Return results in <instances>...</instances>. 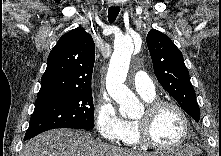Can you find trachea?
Listing matches in <instances>:
<instances>
[{"label":"trachea","instance_id":"obj_1","mask_svg":"<svg viewBox=\"0 0 221 156\" xmlns=\"http://www.w3.org/2000/svg\"><path fill=\"white\" fill-rule=\"evenodd\" d=\"M120 12V7H110L108 9V21L113 23Z\"/></svg>","mask_w":221,"mask_h":156}]
</instances>
